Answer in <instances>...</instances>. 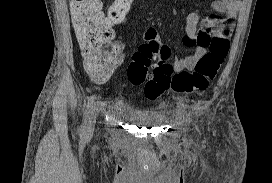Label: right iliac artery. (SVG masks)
<instances>
[{"instance_id": "82829eb1", "label": "right iliac artery", "mask_w": 272, "mask_h": 183, "mask_svg": "<svg viewBox=\"0 0 272 183\" xmlns=\"http://www.w3.org/2000/svg\"><path fill=\"white\" fill-rule=\"evenodd\" d=\"M95 97L91 96L88 104L86 106V110L84 112V118H83V124L81 126V133L85 134L87 132L89 123H90V117L93 110V103H94Z\"/></svg>"}]
</instances>
